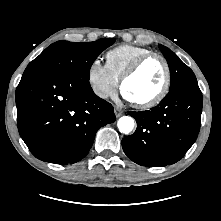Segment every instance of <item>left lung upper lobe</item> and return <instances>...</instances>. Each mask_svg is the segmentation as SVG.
Masks as SVG:
<instances>
[{
	"label": "left lung upper lobe",
	"mask_w": 221,
	"mask_h": 221,
	"mask_svg": "<svg viewBox=\"0 0 221 221\" xmlns=\"http://www.w3.org/2000/svg\"><path fill=\"white\" fill-rule=\"evenodd\" d=\"M159 48L166 58L170 68L171 84L169 91L185 84L197 83V79L193 71L185 65L175 53L163 45H159Z\"/></svg>",
	"instance_id": "5c2ea615"
}]
</instances>
